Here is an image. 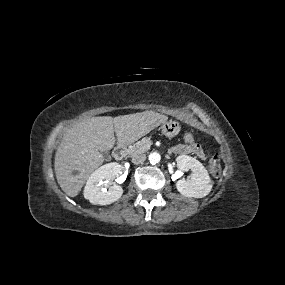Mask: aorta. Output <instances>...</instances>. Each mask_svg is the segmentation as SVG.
Returning <instances> with one entry per match:
<instances>
[{"label": "aorta", "mask_w": 285, "mask_h": 285, "mask_svg": "<svg viewBox=\"0 0 285 285\" xmlns=\"http://www.w3.org/2000/svg\"><path fill=\"white\" fill-rule=\"evenodd\" d=\"M148 159H149L151 164H157L160 162L161 156L159 153L153 152V153H150Z\"/></svg>", "instance_id": "aorta-1"}]
</instances>
